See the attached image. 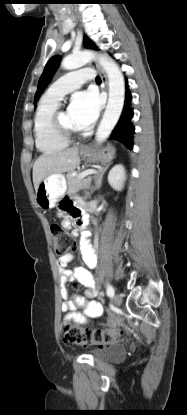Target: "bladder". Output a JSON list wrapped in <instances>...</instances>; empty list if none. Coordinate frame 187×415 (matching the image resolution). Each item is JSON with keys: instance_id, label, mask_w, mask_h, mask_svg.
<instances>
[{"instance_id": "bladder-1", "label": "bladder", "mask_w": 187, "mask_h": 415, "mask_svg": "<svg viewBox=\"0 0 187 415\" xmlns=\"http://www.w3.org/2000/svg\"><path fill=\"white\" fill-rule=\"evenodd\" d=\"M87 353L98 360H118L125 354V345L121 342H113L100 348L90 349Z\"/></svg>"}]
</instances>
